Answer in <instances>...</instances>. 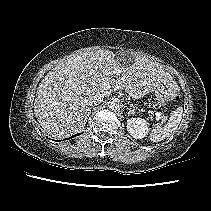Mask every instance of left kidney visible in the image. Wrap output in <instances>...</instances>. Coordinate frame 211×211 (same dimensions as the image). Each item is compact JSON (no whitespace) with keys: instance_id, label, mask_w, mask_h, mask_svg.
I'll use <instances>...</instances> for the list:
<instances>
[{"instance_id":"left-kidney-1","label":"left kidney","mask_w":211,"mask_h":211,"mask_svg":"<svg viewBox=\"0 0 211 211\" xmlns=\"http://www.w3.org/2000/svg\"><path fill=\"white\" fill-rule=\"evenodd\" d=\"M148 123L140 117H132L127 120V130L135 139H143L148 133Z\"/></svg>"}]
</instances>
